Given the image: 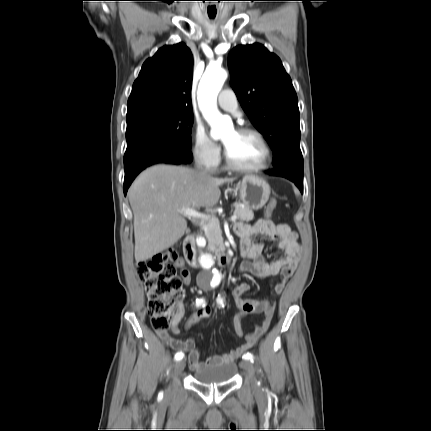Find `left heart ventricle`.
<instances>
[{"label": "left heart ventricle", "instance_id": "1", "mask_svg": "<svg viewBox=\"0 0 431 431\" xmlns=\"http://www.w3.org/2000/svg\"><path fill=\"white\" fill-rule=\"evenodd\" d=\"M230 158L241 166H256L264 160V148L251 134H241L231 130L223 137Z\"/></svg>", "mask_w": 431, "mask_h": 431}]
</instances>
